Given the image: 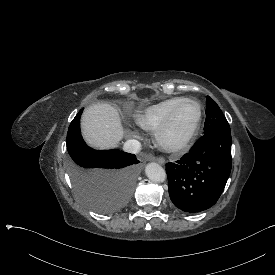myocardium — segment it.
Returning a JSON list of instances; mask_svg holds the SVG:
<instances>
[{"mask_svg": "<svg viewBox=\"0 0 275 275\" xmlns=\"http://www.w3.org/2000/svg\"><path fill=\"white\" fill-rule=\"evenodd\" d=\"M193 103L197 107V116L190 129L181 136L173 134V119L174 114L181 104ZM202 118L201 105L194 99L186 98L178 103L170 110L163 124L155 131V145L165 152H178L187 147L190 141L195 136Z\"/></svg>", "mask_w": 275, "mask_h": 275, "instance_id": "1", "label": "myocardium"}]
</instances>
